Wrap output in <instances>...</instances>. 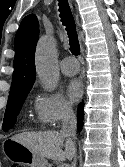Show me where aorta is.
I'll list each match as a JSON object with an SVG mask.
<instances>
[{"label": "aorta", "mask_w": 125, "mask_h": 167, "mask_svg": "<svg viewBox=\"0 0 125 167\" xmlns=\"http://www.w3.org/2000/svg\"><path fill=\"white\" fill-rule=\"evenodd\" d=\"M35 65L37 75L43 87L48 91L54 90L59 81V70L55 46L48 37H42L37 44Z\"/></svg>", "instance_id": "1"}]
</instances>
